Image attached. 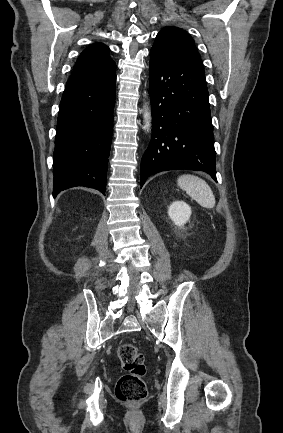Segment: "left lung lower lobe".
<instances>
[{"instance_id":"obj_1","label":"left lung lower lobe","mask_w":283,"mask_h":433,"mask_svg":"<svg viewBox=\"0 0 283 433\" xmlns=\"http://www.w3.org/2000/svg\"><path fill=\"white\" fill-rule=\"evenodd\" d=\"M152 139L140 167L141 187L161 171H205L216 179L213 126L204 69L162 51H150Z\"/></svg>"}]
</instances>
